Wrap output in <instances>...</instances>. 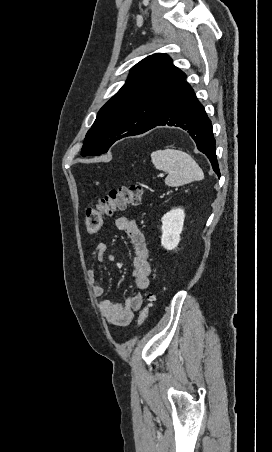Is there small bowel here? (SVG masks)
Listing matches in <instances>:
<instances>
[{
    "label": "small bowel",
    "mask_w": 272,
    "mask_h": 452,
    "mask_svg": "<svg viewBox=\"0 0 272 452\" xmlns=\"http://www.w3.org/2000/svg\"><path fill=\"white\" fill-rule=\"evenodd\" d=\"M115 227L127 234L134 251L132 277L135 288L140 291L149 287V276L151 267L145 237L139 229L136 221L127 215L118 216L115 219ZM107 251L105 243H98L93 249L91 256L103 262ZM89 281L92 285L94 295L103 298L106 294L105 288L97 283V274L94 269L88 273ZM143 297L137 293L128 296L123 303L103 298L99 303L101 315L109 322L117 326H127L133 319L134 313L140 309Z\"/></svg>",
    "instance_id": "obj_1"
}]
</instances>
